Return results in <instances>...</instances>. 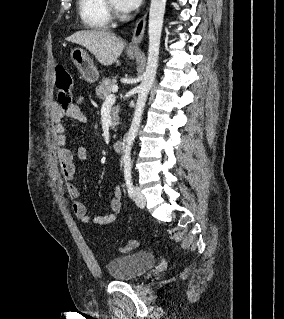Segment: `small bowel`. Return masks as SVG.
<instances>
[{"mask_svg":"<svg viewBox=\"0 0 284 319\" xmlns=\"http://www.w3.org/2000/svg\"><path fill=\"white\" fill-rule=\"evenodd\" d=\"M53 135L56 145V153L61 172L66 180V187L70 197L73 199L72 210L75 216L84 224L108 225L113 223L122 206V190L115 186L110 199V210L101 215L91 217L88 214L85 203L79 199L80 191L74 180L75 165L72 152L67 148V133L63 125L65 117L78 121L86 122V115L81 106V99L70 105L67 109H62L58 105L52 107ZM79 161H86L88 152L85 148H79L77 151Z\"/></svg>","mask_w":284,"mask_h":319,"instance_id":"1","label":"small bowel"}]
</instances>
